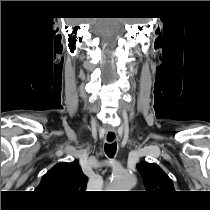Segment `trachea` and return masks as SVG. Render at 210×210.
<instances>
[{
  "label": "trachea",
  "mask_w": 210,
  "mask_h": 210,
  "mask_svg": "<svg viewBox=\"0 0 210 210\" xmlns=\"http://www.w3.org/2000/svg\"><path fill=\"white\" fill-rule=\"evenodd\" d=\"M116 149H117V144L115 142L110 144H105V153L109 158H112L115 155Z\"/></svg>",
  "instance_id": "1"
}]
</instances>
